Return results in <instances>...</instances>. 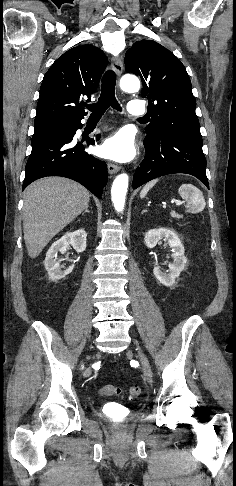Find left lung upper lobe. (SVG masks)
I'll return each instance as SVG.
<instances>
[{
	"instance_id": "1",
	"label": "left lung upper lobe",
	"mask_w": 236,
	"mask_h": 486,
	"mask_svg": "<svg viewBox=\"0 0 236 486\" xmlns=\"http://www.w3.org/2000/svg\"><path fill=\"white\" fill-rule=\"evenodd\" d=\"M125 69L141 77L142 97L149 100L144 140L170 133L202 138L190 78L172 52L153 40L137 41L125 55Z\"/></svg>"
}]
</instances>
